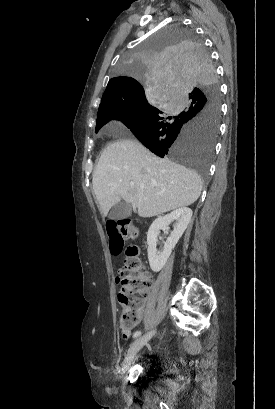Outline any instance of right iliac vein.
Returning <instances> with one entry per match:
<instances>
[{
	"mask_svg": "<svg viewBox=\"0 0 275 409\" xmlns=\"http://www.w3.org/2000/svg\"><path fill=\"white\" fill-rule=\"evenodd\" d=\"M155 334V331H151L149 333H146L145 335L139 337L138 339H136L130 346L127 355L122 363V370H125L130 363L132 362V360L134 359V357L136 356V354L138 353V351L149 342V340L152 338V336Z\"/></svg>",
	"mask_w": 275,
	"mask_h": 409,
	"instance_id": "1",
	"label": "right iliac vein"
}]
</instances>
